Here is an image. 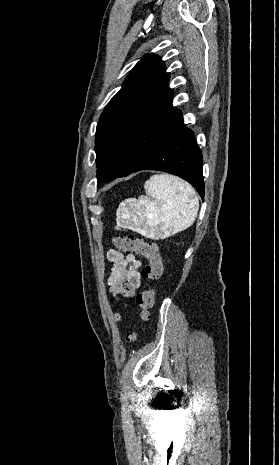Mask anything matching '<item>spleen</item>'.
<instances>
[{"label":"spleen","mask_w":279,"mask_h":465,"mask_svg":"<svg viewBox=\"0 0 279 465\" xmlns=\"http://www.w3.org/2000/svg\"><path fill=\"white\" fill-rule=\"evenodd\" d=\"M144 188L146 196L121 202L116 212L118 226L146 237H168L193 224L199 200L188 183L173 175H153Z\"/></svg>","instance_id":"3e777b00"}]
</instances>
